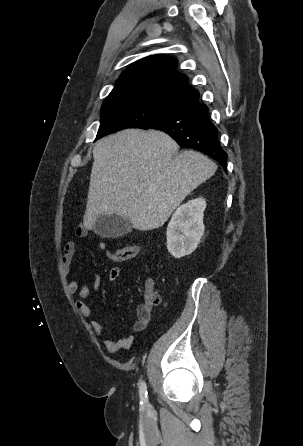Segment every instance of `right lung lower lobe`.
I'll list each match as a JSON object with an SVG mask.
<instances>
[{
  "instance_id": "obj_1",
  "label": "right lung lower lobe",
  "mask_w": 303,
  "mask_h": 446,
  "mask_svg": "<svg viewBox=\"0 0 303 446\" xmlns=\"http://www.w3.org/2000/svg\"><path fill=\"white\" fill-rule=\"evenodd\" d=\"M140 128L164 131L181 147L192 148L210 156L226 170L227 154L218 142L217 128L208 118V108L199 101L161 115Z\"/></svg>"
}]
</instances>
